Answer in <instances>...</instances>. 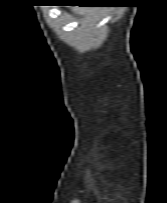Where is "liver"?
Segmentation results:
<instances>
[{
  "label": "liver",
  "mask_w": 167,
  "mask_h": 203,
  "mask_svg": "<svg viewBox=\"0 0 167 203\" xmlns=\"http://www.w3.org/2000/svg\"><path fill=\"white\" fill-rule=\"evenodd\" d=\"M73 11L75 13H78V14L82 15V16H89V15L92 14V10H88V9H80V8H78V9H74Z\"/></svg>",
  "instance_id": "6515ba94"
}]
</instances>
